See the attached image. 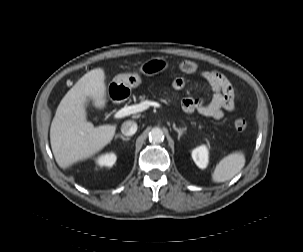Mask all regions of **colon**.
Returning a JSON list of instances; mask_svg holds the SVG:
<instances>
[{"label": "colon", "instance_id": "5ec220e1", "mask_svg": "<svg viewBox=\"0 0 303 252\" xmlns=\"http://www.w3.org/2000/svg\"><path fill=\"white\" fill-rule=\"evenodd\" d=\"M178 69L183 73L193 74L198 70V64L194 61L183 60L178 63ZM247 125V121L243 118H237L234 121V126L238 132H244Z\"/></svg>", "mask_w": 303, "mask_h": 252}]
</instances>
